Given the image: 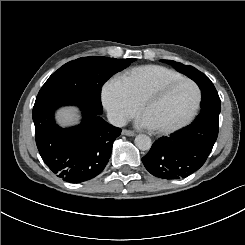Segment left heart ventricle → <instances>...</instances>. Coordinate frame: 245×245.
I'll return each instance as SVG.
<instances>
[{"instance_id": "1", "label": "left heart ventricle", "mask_w": 245, "mask_h": 245, "mask_svg": "<svg viewBox=\"0 0 245 245\" xmlns=\"http://www.w3.org/2000/svg\"><path fill=\"white\" fill-rule=\"evenodd\" d=\"M194 100L192 87L177 83L153 92L146 100L141 117L149 127H161L179 122L190 110Z\"/></svg>"}]
</instances>
